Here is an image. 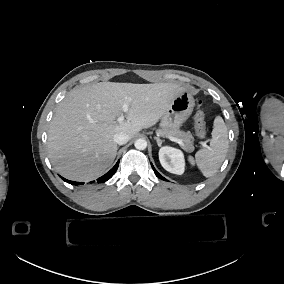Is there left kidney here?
Returning <instances> with one entry per match:
<instances>
[{"label":"left kidney","mask_w":284,"mask_h":284,"mask_svg":"<svg viewBox=\"0 0 284 284\" xmlns=\"http://www.w3.org/2000/svg\"><path fill=\"white\" fill-rule=\"evenodd\" d=\"M159 160L162 167L170 173H183V158L181 151L171 148L163 147L159 151Z\"/></svg>","instance_id":"5707ae66"}]
</instances>
